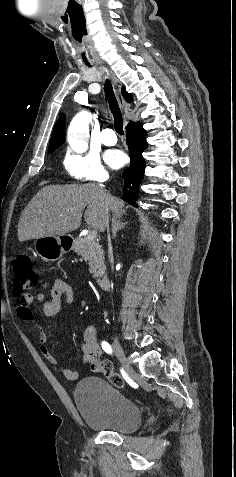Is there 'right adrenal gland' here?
<instances>
[{
  "label": "right adrenal gland",
  "instance_id": "obj_1",
  "mask_svg": "<svg viewBox=\"0 0 236 477\" xmlns=\"http://www.w3.org/2000/svg\"><path fill=\"white\" fill-rule=\"evenodd\" d=\"M122 216H123V214H120V215L114 216L113 219H112L113 238L116 237L117 231L124 228L125 225L128 223V222H121Z\"/></svg>",
  "mask_w": 236,
  "mask_h": 477
}]
</instances>
